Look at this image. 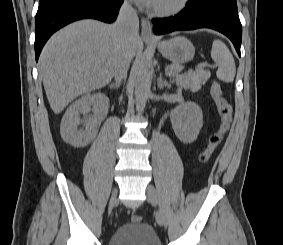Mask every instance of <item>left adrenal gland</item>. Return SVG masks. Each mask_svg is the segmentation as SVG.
<instances>
[{"mask_svg": "<svg viewBox=\"0 0 283 245\" xmlns=\"http://www.w3.org/2000/svg\"><path fill=\"white\" fill-rule=\"evenodd\" d=\"M157 86L159 89H162L163 87L170 88V84L166 80H163L161 76L157 80Z\"/></svg>", "mask_w": 283, "mask_h": 245, "instance_id": "a2214340", "label": "left adrenal gland"}]
</instances>
